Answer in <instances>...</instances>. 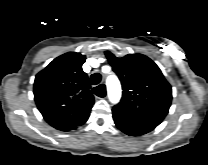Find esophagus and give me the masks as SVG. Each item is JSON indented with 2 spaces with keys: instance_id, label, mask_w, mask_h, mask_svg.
<instances>
[{
  "instance_id": "obj_1",
  "label": "esophagus",
  "mask_w": 208,
  "mask_h": 165,
  "mask_svg": "<svg viewBox=\"0 0 208 165\" xmlns=\"http://www.w3.org/2000/svg\"><path fill=\"white\" fill-rule=\"evenodd\" d=\"M100 85H102L105 88V96L102 98H106L107 97V89H106V85L105 83H101Z\"/></svg>"
}]
</instances>
